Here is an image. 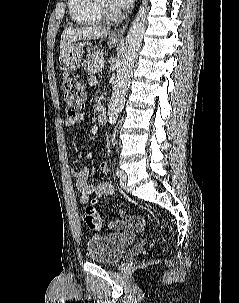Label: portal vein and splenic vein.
<instances>
[{
  "instance_id": "portal-vein-and-splenic-vein-1",
  "label": "portal vein and splenic vein",
  "mask_w": 239,
  "mask_h": 303,
  "mask_svg": "<svg viewBox=\"0 0 239 303\" xmlns=\"http://www.w3.org/2000/svg\"><path fill=\"white\" fill-rule=\"evenodd\" d=\"M104 65H105V61H104V60H102V61L99 62V67H100V68H103Z\"/></svg>"
}]
</instances>
